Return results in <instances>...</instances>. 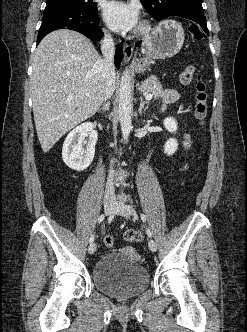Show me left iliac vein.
Listing matches in <instances>:
<instances>
[{
    "instance_id": "left-iliac-vein-1",
    "label": "left iliac vein",
    "mask_w": 247,
    "mask_h": 332,
    "mask_svg": "<svg viewBox=\"0 0 247 332\" xmlns=\"http://www.w3.org/2000/svg\"><path fill=\"white\" fill-rule=\"evenodd\" d=\"M113 212L125 218H130L131 215L135 214V209L131 205L125 204L123 201H119L114 204ZM148 246L153 252L157 250L156 242L153 239H149Z\"/></svg>"
}]
</instances>
